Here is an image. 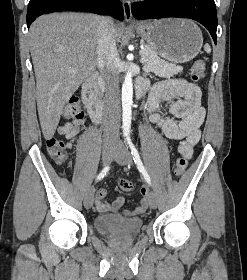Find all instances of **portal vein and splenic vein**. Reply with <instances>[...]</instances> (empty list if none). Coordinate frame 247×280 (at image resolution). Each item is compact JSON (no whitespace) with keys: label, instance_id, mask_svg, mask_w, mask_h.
Here are the masks:
<instances>
[{"label":"portal vein and splenic vein","instance_id":"obj_1","mask_svg":"<svg viewBox=\"0 0 247 280\" xmlns=\"http://www.w3.org/2000/svg\"><path fill=\"white\" fill-rule=\"evenodd\" d=\"M143 49V48H142ZM140 55H141V62L143 63V62H145L146 61V58L145 57H143V53H142V51H140Z\"/></svg>","mask_w":247,"mask_h":280}]
</instances>
